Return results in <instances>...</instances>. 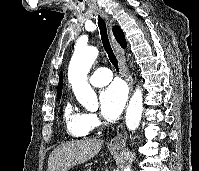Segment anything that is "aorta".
<instances>
[{
	"instance_id": "762f6f07",
	"label": "aorta",
	"mask_w": 199,
	"mask_h": 171,
	"mask_svg": "<svg viewBox=\"0 0 199 171\" xmlns=\"http://www.w3.org/2000/svg\"><path fill=\"white\" fill-rule=\"evenodd\" d=\"M98 56L95 47H78L75 49L68 68V79L77 100L87 109L98 107L97 96L87 81V74ZM143 110L142 91L137 88L130 99L125 121L129 130H135L140 123ZM124 171H130L129 168Z\"/></svg>"
}]
</instances>
